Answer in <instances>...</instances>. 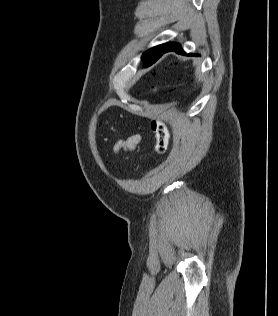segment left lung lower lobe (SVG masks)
<instances>
[{
    "label": "left lung lower lobe",
    "mask_w": 278,
    "mask_h": 316,
    "mask_svg": "<svg viewBox=\"0 0 278 316\" xmlns=\"http://www.w3.org/2000/svg\"><path fill=\"white\" fill-rule=\"evenodd\" d=\"M171 51L176 52L178 54H186L179 43L172 42V43H169L168 46L164 49L161 56L164 53L171 52ZM188 55L198 56V54H188Z\"/></svg>",
    "instance_id": "obj_1"
}]
</instances>
